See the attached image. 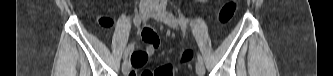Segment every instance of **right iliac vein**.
<instances>
[{
  "mask_svg": "<svg viewBox=\"0 0 333 76\" xmlns=\"http://www.w3.org/2000/svg\"><path fill=\"white\" fill-rule=\"evenodd\" d=\"M152 5L144 4L140 6V14L143 21H147L151 15ZM130 69V64L128 61H124L122 65L123 74H127Z\"/></svg>",
  "mask_w": 333,
  "mask_h": 76,
  "instance_id": "63e3f726",
  "label": "right iliac vein"
}]
</instances>
